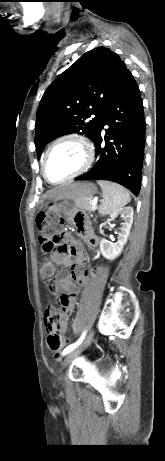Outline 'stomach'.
Returning <instances> with one entry per match:
<instances>
[{"label":"stomach","instance_id":"stomach-1","mask_svg":"<svg viewBox=\"0 0 165 461\" xmlns=\"http://www.w3.org/2000/svg\"><path fill=\"white\" fill-rule=\"evenodd\" d=\"M97 188L91 182H73L62 185L53 190L49 196L53 201L76 199V198H93Z\"/></svg>","mask_w":165,"mask_h":461}]
</instances>
